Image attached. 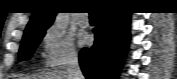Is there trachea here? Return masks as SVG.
<instances>
[{
    "label": "trachea",
    "mask_w": 177,
    "mask_h": 79,
    "mask_svg": "<svg viewBox=\"0 0 177 79\" xmlns=\"http://www.w3.org/2000/svg\"><path fill=\"white\" fill-rule=\"evenodd\" d=\"M89 15H90V16H89L90 18H96V17H97V15H96L95 12H94V13H90Z\"/></svg>",
    "instance_id": "3493384b"
}]
</instances>
